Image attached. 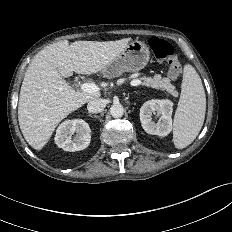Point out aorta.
I'll return each instance as SVG.
<instances>
[{"label": "aorta", "mask_w": 232, "mask_h": 232, "mask_svg": "<svg viewBox=\"0 0 232 232\" xmlns=\"http://www.w3.org/2000/svg\"><path fill=\"white\" fill-rule=\"evenodd\" d=\"M110 114L114 118H120V117H122L123 114H124V107H123V105L120 104V103H114L110 107Z\"/></svg>", "instance_id": "762f6f07"}]
</instances>
